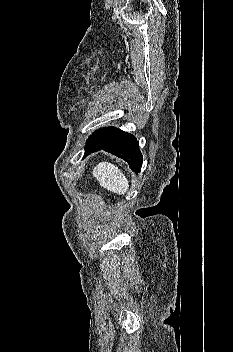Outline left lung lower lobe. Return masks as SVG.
Here are the masks:
<instances>
[{
    "instance_id": "1",
    "label": "left lung lower lobe",
    "mask_w": 233,
    "mask_h": 352,
    "mask_svg": "<svg viewBox=\"0 0 233 352\" xmlns=\"http://www.w3.org/2000/svg\"><path fill=\"white\" fill-rule=\"evenodd\" d=\"M104 150L125 160L132 171L138 173L142 167V154L137 139L119 128L109 127L85 146L84 156Z\"/></svg>"
}]
</instances>
